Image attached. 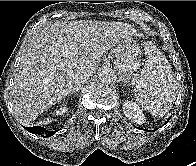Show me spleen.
<instances>
[{
	"mask_svg": "<svg viewBox=\"0 0 196 166\" xmlns=\"http://www.w3.org/2000/svg\"><path fill=\"white\" fill-rule=\"evenodd\" d=\"M146 64L135 89V100L150 114L167 113L176 99V81L166 57L151 42L145 45Z\"/></svg>",
	"mask_w": 196,
	"mask_h": 166,
	"instance_id": "spleen-1",
	"label": "spleen"
}]
</instances>
